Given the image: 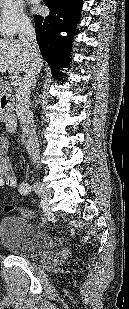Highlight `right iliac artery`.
Listing matches in <instances>:
<instances>
[{
    "mask_svg": "<svg viewBox=\"0 0 129 309\" xmlns=\"http://www.w3.org/2000/svg\"><path fill=\"white\" fill-rule=\"evenodd\" d=\"M31 186L29 184H21L20 187H19V192L23 195H26V194H29L31 192ZM44 221V220H43Z\"/></svg>",
    "mask_w": 129,
    "mask_h": 309,
    "instance_id": "82829eb1",
    "label": "right iliac artery"
}]
</instances>
